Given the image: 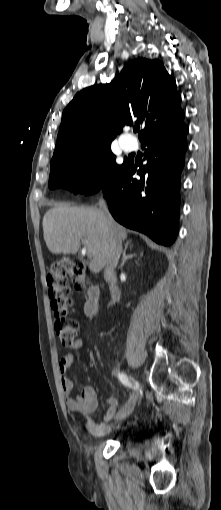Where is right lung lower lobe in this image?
<instances>
[{
  "mask_svg": "<svg viewBox=\"0 0 221 510\" xmlns=\"http://www.w3.org/2000/svg\"><path fill=\"white\" fill-rule=\"evenodd\" d=\"M188 127L176 126L144 136L147 164L140 169L128 161L103 188L112 216L122 225L170 246L178 233L180 175L187 150ZM137 173L140 178H135Z\"/></svg>",
  "mask_w": 221,
  "mask_h": 510,
  "instance_id": "obj_1",
  "label": "right lung lower lobe"
}]
</instances>
